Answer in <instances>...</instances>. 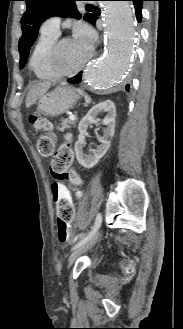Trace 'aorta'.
<instances>
[{"instance_id": "1", "label": "aorta", "mask_w": 183, "mask_h": 329, "mask_svg": "<svg viewBox=\"0 0 183 329\" xmlns=\"http://www.w3.org/2000/svg\"><path fill=\"white\" fill-rule=\"evenodd\" d=\"M107 48L100 61L90 66L86 81L95 89L110 90L124 76L135 37L134 12L127 1L104 3Z\"/></svg>"}]
</instances>
